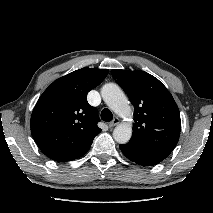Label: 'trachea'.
Wrapping results in <instances>:
<instances>
[{
	"label": "trachea",
	"mask_w": 213,
	"mask_h": 213,
	"mask_svg": "<svg viewBox=\"0 0 213 213\" xmlns=\"http://www.w3.org/2000/svg\"><path fill=\"white\" fill-rule=\"evenodd\" d=\"M101 119L105 122H110L113 119V114L108 108H104L101 112Z\"/></svg>",
	"instance_id": "trachea-1"
}]
</instances>
